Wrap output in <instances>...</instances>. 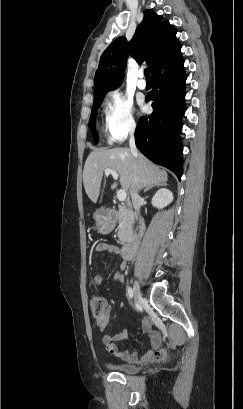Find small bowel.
<instances>
[{
	"label": "small bowel",
	"instance_id": "small-bowel-1",
	"mask_svg": "<svg viewBox=\"0 0 243 409\" xmlns=\"http://www.w3.org/2000/svg\"><path fill=\"white\" fill-rule=\"evenodd\" d=\"M114 254L119 255L120 250L117 246L100 243L94 246L92 250V256L97 257L101 254ZM121 269L127 268V263L122 262L120 264ZM113 278L117 282H124V275L121 272H115ZM103 281V273L98 271L94 277L93 282L95 284H101ZM104 302L103 309L94 312L95 323L99 329L104 331L108 326V315L107 308L108 303L106 299L102 298ZM141 330L144 333H147L151 339V348L147 351L146 354L140 356L138 352L134 349L120 350L115 345V342L126 337V331H120L115 335H104L102 337L103 344L105 349L112 354L113 356L123 359L125 362L134 363V362H165L170 356V349L166 346H161V338L157 331L153 329V322L150 317H147L141 326Z\"/></svg>",
	"mask_w": 243,
	"mask_h": 409
}]
</instances>
